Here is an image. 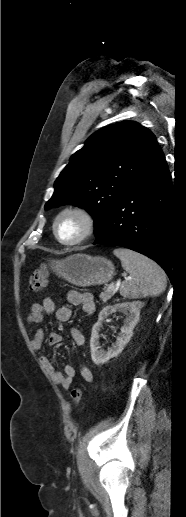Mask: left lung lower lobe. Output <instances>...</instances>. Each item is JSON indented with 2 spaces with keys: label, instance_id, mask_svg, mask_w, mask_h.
Listing matches in <instances>:
<instances>
[{
  "label": "left lung lower lobe",
  "instance_id": "0a47b994",
  "mask_svg": "<svg viewBox=\"0 0 186 517\" xmlns=\"http://www.w3.org/2000/svg\"><path fill=\"white\" fill-rule=\"evenodd\" d=\"M172 190L160 150L113 208L94 244L122 246L144 254L172 280Z\"/></svg>",
  "mask_w": 186,
  "mask_h": 517
}]
</instances>
